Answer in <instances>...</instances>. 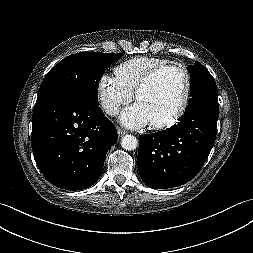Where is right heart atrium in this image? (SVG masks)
I'll return each instance as SVG.
<instances>
[{"label": "right heart atrium", "mask_w": 253, "mask_h": 253, "mask_svg": "<svg viewBox=\"0 0 253 253\" xmlns=\"http://www.w3.org/2000/svg\"><path fill=\"white\" fill-rule=\"evenodd\" d=\"M99 100L103 110L116 115L123 105L128 104L133 94L126 90L115 77L103 75L98 82Z\"/></svg>", "instance_id": "1"}]
</instances>
